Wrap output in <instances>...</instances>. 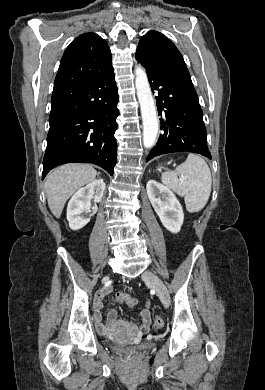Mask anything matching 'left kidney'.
<instances>
[{
	"mask_svg": "<svg viewBox=\"0 0 265 390\" xmlns=\"http://www.w3.org/2000/svg\"><path fill=\"white\" fill-rule=\"evenodd\" d=\"M148 198L163 226L171 233H178L184 220L182 206L175 194L155 180L146 185Z\"/></svg>",
	"mask_w": 265,
	"mask_h": 390,
	"instance_id": "left-kidney-1",
	"label": "left kidney"
}]
</instances>
